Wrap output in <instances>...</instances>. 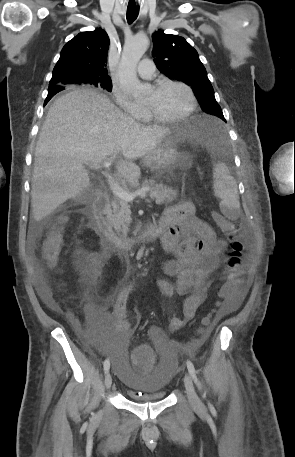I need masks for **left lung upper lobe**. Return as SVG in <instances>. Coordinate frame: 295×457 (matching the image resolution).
<instances>
[{"label": "left lung upper lobe", "instance_id": "obj_1", "mask_svg": "<svg viewBox=\"0 0 295 457\" xmlns=\"http://www.w3.org/2000/svg\"><path fill=\"white\" fill-rule=\"evenodd\" d=\"M152 40V55L160 72L169 79L191 86L203 111L225 121L197 51L183 37L162 31L154 32Z\"/></svg>", "mask_w": 295, "mask_h": 457}]
</instances>
